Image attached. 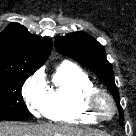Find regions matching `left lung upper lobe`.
<instances>
[{"instance_id":"1","label":"left lung upper lobe","mask_w":136,"mask_h":136,"mask_svg":"<svg viewBox=\"0 0 136 136\" xmlns=\"http://www.w3.org/2000/svg\"><path fill=\"white\" fill-rule=\"evenodd\" d=\"M55 46L61 54L71 57L91 69L113 94L117 107L122 112L113 69L106 59L104 47L99 42L84 32H76L57 38ZM120 115L122 116V113ZM122 120L121 117L120 121L122 122Z\"/></svg>"}]
</instances>
